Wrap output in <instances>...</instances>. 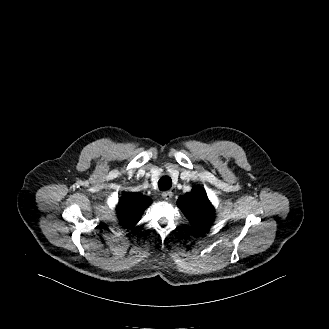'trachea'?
<instances>
[{
    "mask_svg": "<svg viewBox=\"0 0 329 329\" xmlns=\"http://www.w3.org/2000/svg\"><path fill=\"white\" fill-rule=\"evenodd\" d=\"M172 186V180L168 176H163L158 181V187L161 191L168 190Z\"/></svg>",
    "mask_w": 329,
    "mask_h": 329,
    "instance_id": "1",
    "label": "trachea"
}]
</instances>
